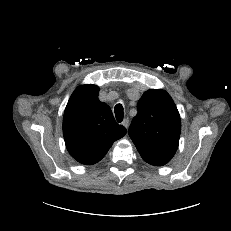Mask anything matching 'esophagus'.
I'll list each match as a JSON object with an SVG mask.
<instances>
[{
  "mask_svg": "<svg viewBox=\"0 0 231 231\" xmlns=\"http://www.w3.org/2000/svg\"><path fill=\"white\" fill-rule=\"evenodd\" d=\"M122 124L126 129H128V127H129V119L128 118L124 119Z\"/></svg>",
  "mask_w": 231,
  "mask_h": 231,
  "instance_id": "esophagus-1",
  "label": "esophagus"
}]
</instances>
